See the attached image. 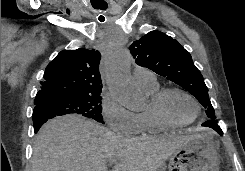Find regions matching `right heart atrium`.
<instances>
[{
  "label": "right heart atrium",
  "mask_w": 245,
  "mask_h": 171,
  "mask_svg": "<svg viewBox=\"0 0 245 171\" xmlns=\"http://www.w3.org/2000/svg\"><path fill=\"white\" fill-rule=\"evenodd\" d=\"M102 116L111 130L122 135H134L140 130L139 117L126 109L112 95L107 94L102 101Z\"/></svg>",
  "instance_id": "1"
}]
</instances>
